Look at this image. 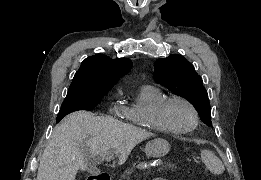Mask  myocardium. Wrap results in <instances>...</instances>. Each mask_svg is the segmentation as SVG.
Returning <instances> with one entry per match:
<instances>
[{
    "label": "myocardium",
    "instance_id": "myocardium-1",
    "mask_svg": "<svg viewBox=\"0 0 261 180\" xmlns=\"http://www.w3.org/2000/svg\"><path fill=\"white\" fill-rule=\"evenodd\" d=\"M181 104L186 106L192 115L191 124L185 128H175L170 125L167 121L162 117V112L165 108L174 105ZM153 117L159 127V129L167 135H186L192 132L199 124L200 116L197 107L188 99L181 96H173L165 99L160 106H158L153 114Z\"/></svg>",
    "mask_w": 261,
    "mask_h": 180
}]
</instances>
